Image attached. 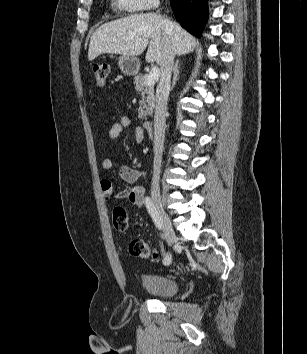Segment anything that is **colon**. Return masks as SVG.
<instances>
[{
  "label": "colon",
  "mask_w": 307,
  "mask_h": 354,
  "mask_svg": "<svg viewBox=\"0 0 307 354\" xmlns=\"http://www.w3.org/2000/svg\"><path fill=\"white\" fill-rule=\"evenodd\" d=\"M92 70L97 84L99 86L105 85L109 77V65L106 63H98L93 66ZM113 224L119 231H124L127 229L129 224V215L126 208L115 207L113 209ZM129 251L132 255L151 261L156 260L158 257L157 251L154 248L139 239L130 242Z\"/></svg>",
  "instance_id": "colon-1"
}]
</instances>
